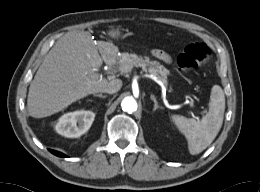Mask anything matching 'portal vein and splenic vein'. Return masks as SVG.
Returning a JSON list of instances; mask_svg holds the SVG:
<instances>
[{
  "label": "portal vein and splenic vein",
  "instance_id": "obj_1",
  "mask_svg": "<svg viewBox=\"0 0 260 192\" xmlns=\"http://www.w3.org/2000/svg\"><path fill=\"white\" fill-rule=\"evenodd\" d=\"M132 70V68L128 65H121L119 66V71L122 73H128Z\"/></svg>",
  "mask_w": 260,
  "mask_h": 192
}]
</instances>
